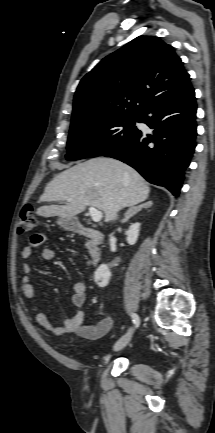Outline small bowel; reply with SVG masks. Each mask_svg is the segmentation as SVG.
<instances>
[{
    "label": "small bowel",
    "instance_id": "c3829d8e",
    "mask_svg": "<svg viewBox=\"0 0 215 433\" xmlns=\"http://www.w3.org/2000/svg\"><path fill=\"white\" fill-rule=\"evenodd\" d=\"M48 240L46 234L37 233L34 234L29 241V244L26 245L21 250V256L24 259L30 258L32 255L33 248L39 247L45 244ZM41 257L44 261L49 262L54 260L55 254L54 251L50 248H44L41 251ZM23 276L21 279V291L23 296L29 300L31 304V310L35 314L36 322L45 330L55 334V335H66L73 334L78 337L88 339V340H97L105 336L113 325V319L110 316L104 317L95 325H89L86 323L84 313L79 311L75 314L69 316L67 319L63 321V323L59 326L54 325L46 316L44 312L40 310L38 305L34 303L35 292L33 285L31 283L30 274L32 272L31 265L25 263L22 267ZM87 295V287L86 283L83 281H77L73 284V292L70 297V301L72 306L76 308H80L84 305L86 301Z\"/></svg>",
    "mask_w": 215,
    "mask_h": 433
}]
</instances>
